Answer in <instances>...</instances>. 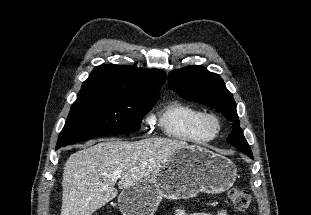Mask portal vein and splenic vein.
<instances>
[{
    "mask_svg": "<svg viewBox=\"0 0 311 215\" xmlns=\"http://www.w3.org/2000/svg\"><path fill=\"white\" fill-rule=\"evenodd\" d=\"M122 175V170H118L113 172V174L111 175L112 180L116 181L117 179H119Z\"/></svg>",
    "mask_w": 311,
    "mask_h": 215,
    "instance_id": "obj_1",
    "label": "portal vein and splenic vein"
}]
</instances>
